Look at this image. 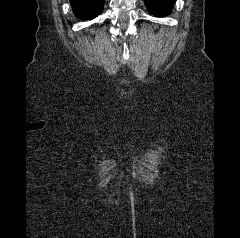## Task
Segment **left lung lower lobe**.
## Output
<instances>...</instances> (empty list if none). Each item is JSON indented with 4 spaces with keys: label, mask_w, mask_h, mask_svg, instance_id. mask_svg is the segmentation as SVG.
<instances>
[{
    "label": "left lung lower lobe",
    "mask_w": 240,
    "mask_h": 238,
    "mask_svg": "<svg viewBox=\"0 0 240 238\" xmlns=\"http://www.w3.org/2000/svg\"><path fill=\"white\" fill-rule=\"evenodd\" d=\"M148 11L154 16H166L171 12L175 0H144Z\"/></svg>",
    "instance_id": "obj_1"
}]
</instances>
